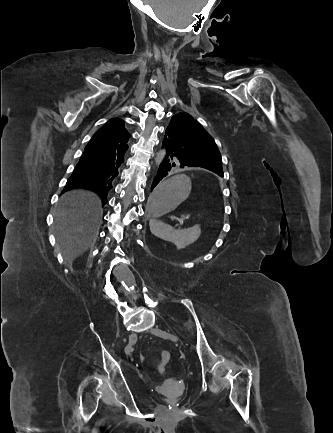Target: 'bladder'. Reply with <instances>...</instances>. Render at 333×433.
<instances>
[{"mask_svg": "<svg viewBox=\"0 0 333 433\" xmlns=\"http://www.w3.org/2000/svg\"><path fill=\"white\" fill-rule=\"evenodd\" d=\"M164 398L168 402H176L180 399V396L172 395V394H166V395H164Z\"/></svg>", "mask_w": 333, "mask_h": 433, "instance_id": "obj_1", "label": "bladder"}]
</instances>
